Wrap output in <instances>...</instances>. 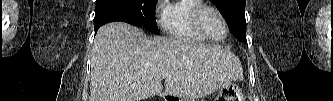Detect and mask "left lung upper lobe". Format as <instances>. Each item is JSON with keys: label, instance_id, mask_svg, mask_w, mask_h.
<instances>
[{"label": "left lung upper lobe", "instance_id": "obj_1", "mask_svg": "<svg viewBox=\"0 0 333 101\" xmlns=\"http://www.w3.org/2000/svg\"><path fill=\"white\" fill-rule=\"evenodd\" d=\"M225 18L231 33L241 42L246 41V0H211Z\"/></svg>", "mask_w": 333, "mask_h": 101}]
</instances>
